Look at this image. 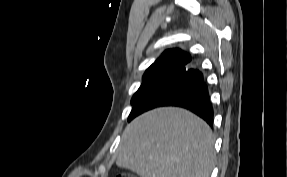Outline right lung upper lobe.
I'll use <instances>...</instances> for the list:
<instances>
[{"mask_svg": "<svg viewBox=\"0 0 287 177\" xmlns=\"http://www.w3.org/2000/svg\"><path fill=\"white\" fill-rule=\"evenodd\" d=\"M176 60L181 62V66L187 65L191 61V57L186 52L180 49L166 50L153 64L162 63L165 61Z\"/></svg>", "mask_w": 287, "mask_h": 177, "instance_id": "1", "label": "right lung upper lobe"}]
</instances>
